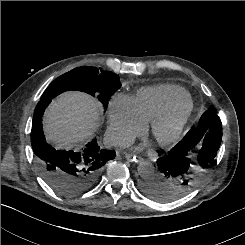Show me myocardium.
<instances>
[{
  "mask_svg": "<svg viewBox=\"0 0 245 245\" xmlns=\"http://www.w3.org/2000/svg\"><path fill=\"white\" fill-rule=\"evenodd\" d=\"M194 104L191 100L180 103L151 121L150 133L156 142L163 147L175 143L183 133L192 116ZM168 127V133L160 135V130Z\"/></svg>",
  "mask_w": 245,
  "mask_h": 245,
  "instance_id": "1",
  "label": "myocardium"
}]
</instances>
